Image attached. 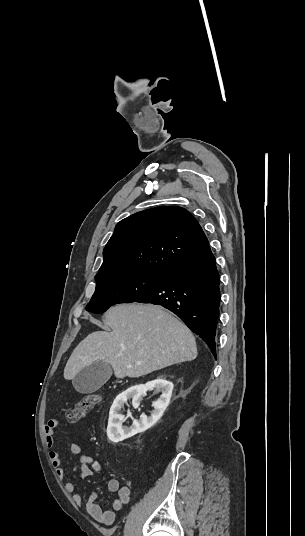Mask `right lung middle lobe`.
Segmentation results:
<instances>
[{"instance_id":"1","label":"right lung middle lobe","mask_w":305,"mask_h":536,"mask_svg":"<svg viewBox=\"0 0 305 536\" xmlns=\"http://www.w3.org/2000/svg\"><path fill=\"white\" fill-rule=\"evenodd\" d=\"M168 273L131 272L120 277L96 280L95 293L86 306L92 313L105 312L118 303H131L147 295Z\"/></svg>"}]
</instances>
